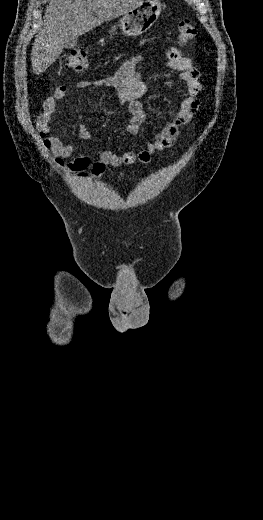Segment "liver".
<instances>
[{
  "instance_id": "obj_1",
  "label": "liver",
  "mask_w": 263,
  "mask_h": 520,
  "mask_svg": "<svg viewBox=\"0 0 263 520\" xmlns=\"http://www.w3.org/2000/svg\"><path fill=\"white\" fill-rule=\"evenodd\" d=\"M144 0H50L45 11V27L36 36L32 47V69L43 73L65 47V37H77L124 15ZM96 14V17L94 16Z\"/></svg>"
}]
</instances>
